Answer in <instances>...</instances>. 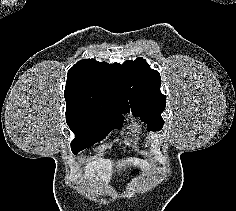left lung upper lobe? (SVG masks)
<instances>
[{
	"mask_svg": "<svg viewBox=\"0 0 236 211\" xmlns=\"http://www.w3.org/2000/svg\"><path fill=\"white\" fill-rule=\"evenodd\" d=\"M122 68L131 111L147 123L149 130H161L164 124L161 113L166 107V97L160 92V74L143 58L127 60Z\"/></svg>",
	"mask_w": 236,
	"mask_h": 211,
	"instance_id": "left-lung-upper-lobe-1",
	"label": "left lung upper lobe"
}]
</instances>
